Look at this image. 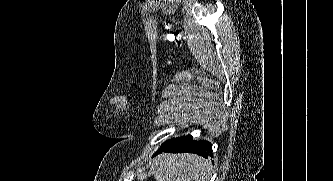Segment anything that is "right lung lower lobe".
<instances>
[{
  "instance_id": "obj_1",
  "label": "right lung lower lobe",
  "mask_w": 333,
  "mask_h": 181,
  "mask_svg": "<svg viewBox=\"0 0 333 181\" xmlns=\"http://www.w3.org/2000/svg\"><path fill=\"white\" fill-rule=\"evenodd\" d=\"M162 151L170 153L188 152L198 154L205 158L208 156L213 157L212 145L210 142L204 140L193 141L191 135L184 136L168 146H161L156 154L161 153Z\"/></svg>"
}]
</instances>
